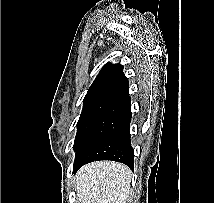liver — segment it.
Returning a JSON list of instances; mask_svg holds the SVG:
<instances>
[{
  "label": "liver",
  "mask_w": 214,
  "mask_h": 203,
  "mask_svg": "<svg viewBox=\"0 0 214 203\" xmlns=\"http://www.w3.org/2000/svg\"><path fill=\"white\" fill-rule=\"evenodd\" d=\"M130 169L121 163L99 161L83 166L76 175L78 203H126Z\"/></svg>",
  "instance_id": "1"
}]
</instances>
